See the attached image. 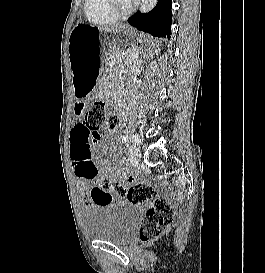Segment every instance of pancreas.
I'll use <instances>...</instances> for the list:
<instances>
[{"mask_svg": "<svg viewBox=\"0 0 265 273\" xmlns=\"http://www.w3.org/2000/svg\"><path fill=\"white\" fill-rule=\"evenodd\" d=\"M132 53H134V51H131V50H127L125 52L114 51L110 55V60L108 61V65L113 67L122 62L126 63L127 65L135 64L136 61L134 57H132Z\"/></svg>", "mask_w": 265, "mask_h": 273, "instance_id": "pancreas-1", "label": "pancreas"}]
</instances>
